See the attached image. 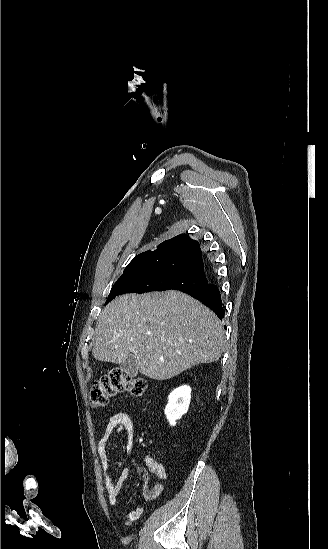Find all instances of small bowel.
Segmentation results:
<instances>
[{
  "instance_id": "small-bowel-1",
  "label": "small bowel",
  "mask_w": 328,
  "mask_h": 549,
  "mask_svg": "<svg viewBox=\"0 0 328 549\" xmlns=\"http://www.w3.org/2000/svg\"><path fill=\"white\" fill-rule=\"evenodd\" d=\"M114 434L124 435L127 439V451L129 454L134 455V425L133 420L129 412H118L111 416L109 422L104 430L102 437L97 444V452L100 459L103 478L105 482V488L107 490L108 499L112 506L119 507V491L129 476V471L123 469L117 480L115 481L110 471V461L108 455V444ZM146 468L152 474L156 475L158 481H156L151 489L148 491L147 499L150 501L156 500L163 492L162 481L166 479L167 474L164 466L156 461L153 457L145 455L143 458ZM137 516L141 513L140 510L132 512ZM130 514V513H129Z\"/></svg>"
}]
</instances>
